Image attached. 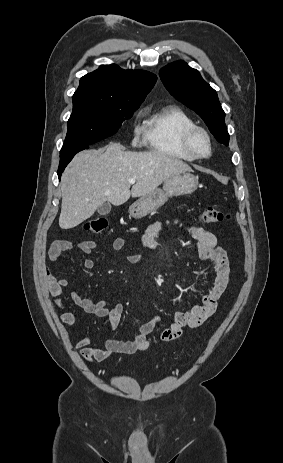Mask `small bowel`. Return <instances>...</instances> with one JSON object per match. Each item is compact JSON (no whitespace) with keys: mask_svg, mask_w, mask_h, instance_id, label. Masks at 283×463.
I'll list each match as a JSON object with an SVG mask.
<instances>
[{"mask_svg":"<svg viewBox=\"0 0 283 463\" xmlns=\"http://www.w3.org/2000/svg\"><path fill=\"white\" fill-rule=\"evenodd\" d=\"M170 220L156 221L149 225L142 236L143 245L151 250L157 246L156 238L164 225L171 224ZM187 233L195 240L193 250L202 260H208L215 270L214 285L210 292L203 296L200 304L189 310L178 312L172 324L165 328L156 338L150 336L160 323L159 316H154L150 321L143 323L138 333L131 339L120 340L110 338L106 340L102 347L91 346V340L88 335L81 334L76 342V348L80 350L82 359L88 363L93 361L102 362L107 360L112 354H133L138 351H145L159 341H172L178 339L185 327H197L204 323L216 310L217 302L224 294L230 275L229 261L226 251L218 245L216 236L197 226H187ZM126 245V238L117 237L113 241V248L121 251ZM96 242L92 240H83L74 243L69 240H55L51 243L48 250V261L56 263L63 252L73 249L80 250L83 254L89 255L96 248ZM131 264H139L141 257L137 254L130 253L126 256ZM83 267L86 270L94 268V261L86 258L83 261ZM46 288L51 296L55 299L57 306L65 312L61 314V321L72 326L76 323V315L71 306L64 298V289L69 287V281L66 278H56L51 271L45 269ZM69 295L73 302L81 309L93 313L98 317L107 319L110 327L115 329L120 323L123 305L116 303L107 306L105 301H93L83 298L77 292L71 290Z\"/></svg>","mask_w":283,"mask_h":463,"instance_id":"c3829d8e","label":"small bowel"}]
</instances>
